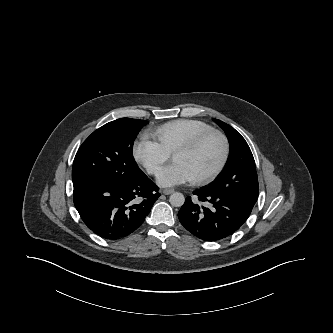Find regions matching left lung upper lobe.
Instances as JSON below:
<instances>
[{
	"instance_id": "left-lung-upper-lobe-1",
	"label": "left lung upper lobe",
	"mask_w": 333,
	"mask_h": 333,
	"mask_svg": "<svg viewBox=\"0 0 333 333\" xmlns=\"http://www.w3.org/2000/svg\"><path fill=\"white\" fill-rule=\"evenodd\" d=\"M225 132L230 143L227 165L220 178L212 185L216 189L253 208L258 198V178L251 150L241 136L230 125L214 119Z\"/></svg>"
}]
</instances>
